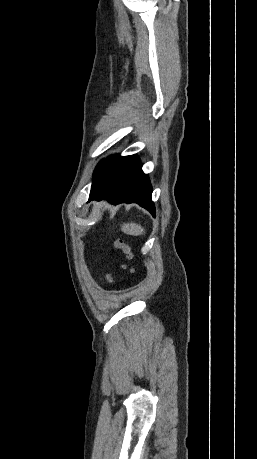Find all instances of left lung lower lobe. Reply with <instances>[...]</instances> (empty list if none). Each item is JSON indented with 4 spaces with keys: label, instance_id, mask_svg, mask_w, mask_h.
I'll return each mask as SVG.
<instances>
[{
    "label": "left lung lower lobe",
    "instance_id": "1",
    "mask_svg": "<svg viewBox=\"0 0 257 459\" xmlns=\"http://www.w3.org/2000/svg\"><path fill=\"white\" fill-rule=\"evenodd\" d=\"M151 194L147 175L141 170V163L135 155L111 156L100 162L89 201L107 199L114 205L134 202L155 216Z\"/></svg>",
    "mask_w": 257,
    "mask_h": 459
}]
</instances>
